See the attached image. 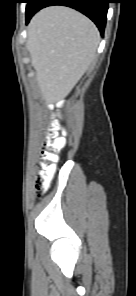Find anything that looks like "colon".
I'll return each instance as SVG.
<instances>
[{"label": "colon", "instance_id": "colon-1", "mask_svg": "<svg viewBox=\"0 0 136 296\" xmlns=\"http://www.w3.org/2000/svg\"><path fill=\"white\" fill-rule=\"evenodd\" d=\"M63 127L57 122L49 126V137L43 151V162L38 165V174L35 180V189L38 194L44 193L51 181L58 160V152L65 146V141L58 132Z\"/></svg>", "mask_w": 136, "mask_h": 296}]
</instances>
